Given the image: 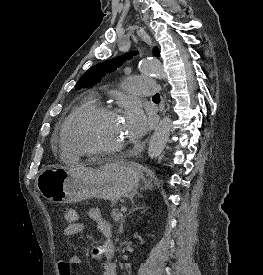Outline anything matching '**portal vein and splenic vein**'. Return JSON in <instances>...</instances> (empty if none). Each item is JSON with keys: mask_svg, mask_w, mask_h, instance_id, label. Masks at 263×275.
I'll use <instances>...</instances> for the list:
<instances>
[{"mask_svg": "<svg viewBox=\"0 0 263 275\" xmlns=\"http://www.w3.org/2000/svg\"><path fill=\"white\" fill-rule=\"evenodd\" d=\"M121 211H122V212H126V211H127V208H126L125 206H122V207H121Z\"/></svg>", "mask_w": 263, "mask_h": 275, "instance_id": "obj_1", "label": "portal vein and splenic vein"}]
</instances>
